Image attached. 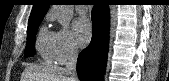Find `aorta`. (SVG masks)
Returning a JSON list of instances; mask_svg holds the SVG:
<instances>
[{
	"label": "aorta",
	"mask_w": 169,
	"mask_h": 81,
	"mask_svg": "<svg viewBox=\"0 0 169 81\" xmlns=\"http://www.w3.org/2000/svg\"><path fill=\"white\" fill-rule=\"evenodd\" d=\"M53 10L59 24L63 28H69L73 17L72 5H54Z\"/></svg>",
	"instance_id": "762f6f07"
}]
</instances>
